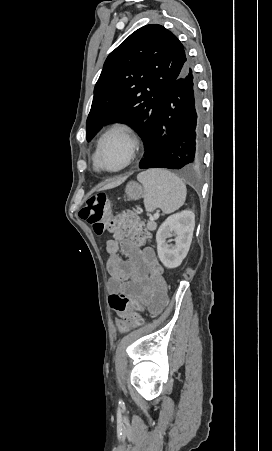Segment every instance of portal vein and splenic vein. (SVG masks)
Segmentation results:
<instances>
[{"instance_id": "portal-vein-and-splenic-vein-1", "label": "portal vein and splenic vein", "mask_w": 272, "mask_h": 451, "mask_svg": "<svg viewBox=\"0 0 272 451\" xmlns=\"http://www.w3.org/2000/svg\"><path fill=\"white\" fill-rule=\"evenodd\" d=\"M154 218H158V214H155Z\"/></svg>"}]
</instances>
